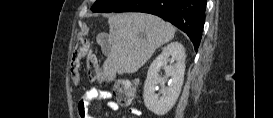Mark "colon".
Here are the masks:
<instances>
[{
	"label": "colon",
	"mask_w": 273,
	"mask_h": 118,
	"mask_svg": "<svg viewBox=\"0 0 273 118\" xmlns=\"http://www.w3.org/2000/svg\"><path fill=\"white\" fill-rule=\"evenodd\" d=\"M87 59V76L90 81L109 82L101 73L95 56L91 53L90 42L86 39L80 40L71 56L70 60V75L72 80L77 83L79 81V61L81 58ZM113 91L117 101L123 105L128 106L132 103L136 96L135 88L132 82L128 79H117L111 82Z\"/></svg>",
	"instance_id": "5ec220e1"
}]
</instances>
